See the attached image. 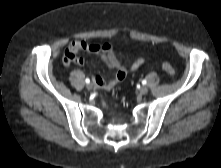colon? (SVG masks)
I'll return each instance as SVG.
<instances>
[{
  "mask_svg": "<svg viewBox=\"0 0 221 168\" xmlns=\"http://www.w3.org/2000/svg\"><path fill=\"white\" fill-rule=\"evenodd\" d=\"M162 68L169 76L173 77L175 75V70L169 63H163Z\"/></svg>",
  "mask_w": 221,
  "mask_h": 168,
  "instance_id": "1",
  "label": "colon"
}]
</instances>
